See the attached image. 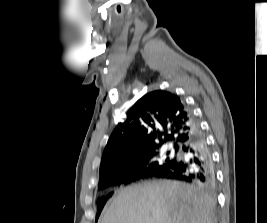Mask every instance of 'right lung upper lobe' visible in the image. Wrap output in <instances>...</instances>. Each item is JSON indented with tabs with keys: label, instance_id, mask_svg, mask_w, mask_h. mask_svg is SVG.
I'll return each instance as SVG.
<instances>
[{
	"label": "right lung upper lobe",
	"instance_id": "1",
	"mask_svg": "<svg viewBox=\"0 0 267 223\" xmlns=\"http://www.w3.org/2000/svg\"><path fill=\"white\" fill-rule=\"evenodd\" d=\"M197 134V123L180 97L157 90L140 98L111 134L102 155L100 179L122 169L125 176L137 170L140 158L172 142L179 150Z\"/></svg>",
	"mask_w": 267,
	"mask_h": 223
}]
</instances>
